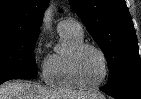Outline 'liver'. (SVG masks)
Returning a JSON list of instances; mask_svg holds the SVG:
<instances>
[{
    "instance_id": "1",
    "label": "liver",
    "mask_w": 141,
    "mask_h": 99,
    "mask_svg": "<svg viewBox=\"0 0 141 99\" xmlns=\"http://www.w3.org/2000/svg\"><path fill=\"white\" fill-rule=\"evenodd\" d=\"M105 99L98 91L61 92L28 81L7 82L0 86V99Z\"/></svg>"
}]
</instances>
